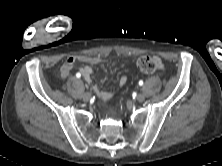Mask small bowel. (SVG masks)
<instances>
[{"label":"small bowel","instance_id":"1","mask_svg":"<svg viewBox=\"0 0 222 166\" xmlns=\"http://www.w3.org/2000/svg\"><path fill=\"white\" fill-rule=\"evenodd\" d=\"M76 61H82L87 64H100L102 63V58L85 56V55L68 57L64 61L61 67L60 72H61L62 77H67L70 74V71ZM80 72L87 83L93 82L94 80L93 70L89 65H83L80 68ZM126 83H127V76L125 75L121 76V78L119 79V85L124 86ZM94 89H95L96 94L101 100L108 101L109 99H111L112 97L111 92L104 89H99L97 87H95Z\"/></svg>","mask_w":222,"mask_h":166}]
</instances>
